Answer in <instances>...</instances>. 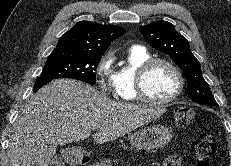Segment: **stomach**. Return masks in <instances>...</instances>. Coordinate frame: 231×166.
Returning <instances> with one entry per match:
<instances>
[{"label": "stomach", "mask_w": 231, "mask_h": 166, "mask_svg": "<svg viewBox=\"0 0 231 166\" xmlns=\"http://www.w3.org/2000/svg\"><path fill=\"white\" fill-rule=\"evenodd\" d=\"M172 138V131L164 125H151L130 135V143L136 149L154 150L166 146ZM77 156V155H75ZM72 161L71 156L66 158Z\"/></svg>", "instance_id": "obj_1"}]
</instances>
